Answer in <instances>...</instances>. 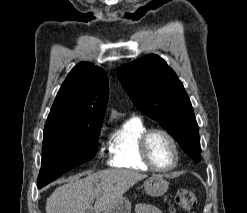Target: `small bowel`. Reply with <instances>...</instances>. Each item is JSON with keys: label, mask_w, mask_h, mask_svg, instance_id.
I'll use <instances>...</instances> for the list:
<instances>
[{"label": "small bowel", "mask_w": 247, "mask_h": 213, "mask_svg": "<svg viewBox=\"0 0 247 213\" xmlns=\"http://www.w3.org/2000/svg\"><path fill=\"white\" fill-rule=\"evenodd\" d=\"M135 213H163V212L154 205L146 204V203H138L136 205Z\"/></svg>", "instance_id": "obj_1"}]
</instances>
